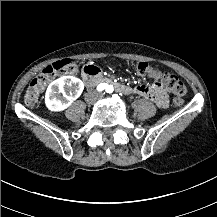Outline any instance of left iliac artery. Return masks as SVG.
Masks as SVG:
<instances>
[{
    "label": "left iliac artery",
    "instance_id": "left-iliac-artery-1",
    "mask_svg": "<svg viewBox=\"0 0 217 217\" xmlns=\"http://www.w3.org/2000/svg\"><path fill=\"white\" fill-rule=\"evenodd\" d=\"M106 91H107V93H112V90H111V91H109V90L107 89Z\"/></svg>",
    "mask_w": 217,
    "mask_h": 217
}]
</instances>
